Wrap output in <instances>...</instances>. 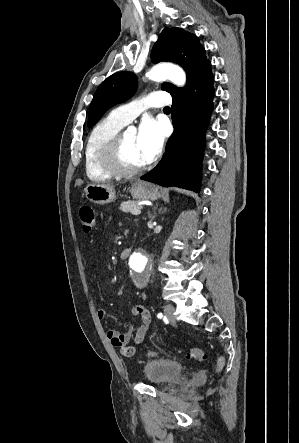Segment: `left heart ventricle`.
<instances>
[{
	"mask_svg": "<svg viewBox=\"0 0 299 443\" xmlns=\"http://www.w3.org/2000/svg\"><path fill=\"white\" fill-rule=\"evenodd\" d=\"M122 162L128 167H138L144 163L137 142V133L126 132L122 147Z\"/></svg>",
	"mask_w": 299,
	"mask_h": 443,
	"instance_id": "left-heart-ventricle-1",
	"label": "left heart ventricle"
}]
</instances>
